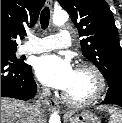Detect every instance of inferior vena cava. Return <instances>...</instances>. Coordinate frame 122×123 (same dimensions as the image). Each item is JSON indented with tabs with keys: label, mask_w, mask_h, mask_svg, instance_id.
I'll use <instances>...</instances> for the list:
<instances>
[{
	"label": "inferior vena cava",
	"mask_w": 122,
	"mask_h": 123,
	"mask_svg": "<svg viewBox=\"0 0 122 123\" xmlns=\"http://www.w3.org/2000/svg\"><path fill=\"white\" fill-rule=\"evenodd\" d=\"M47 96H50V90L48 87H43L39 98L40 100H43ZM40 106H41L40 102L34 105V112L37 116L41 115Z\"/></svg>",
	"instance_id": "inferior-vena-cava-1"
}]
</instances>
